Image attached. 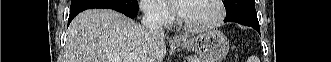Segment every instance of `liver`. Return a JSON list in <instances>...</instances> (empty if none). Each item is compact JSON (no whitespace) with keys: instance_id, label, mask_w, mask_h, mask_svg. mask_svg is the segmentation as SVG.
Returning <instances> with one entry per match:
<instances>
[{"instance_id":"liver-1","label":"liver","mask_w":331,"mask_h":62,"mask_svg":"<svg viewBox=\"0 0 331 62\" xmlns=\"http://www.w3.org/2000/svg\"><path fill=\"white\" fill-rule=\"evenodd\" d=\"M132 52L142 62H163L165 36L109 9L86 10L68 28L65 62H110L109 55Z\"/></svg>"}]
</instances>
